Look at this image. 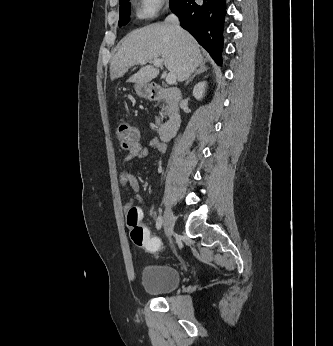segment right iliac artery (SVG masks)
Returning a JSON list of instances; mask_svg holds the SVG:
<instances>
[{"label": "right iliac artery", "mask_w": 333, "mask_h": 346, "mask_svg": "<svg viewBox=\"0 0 333 346\" xmlns=\"http://www.w3.org/2000/svg\"><path fill=\"white\" fill-rule=\"evenodd\" d=\"M162 225H163L162 217H161V216H158V218L156 219V228H157L158 230H160L161 227H162Z\"/></svg>", "instance_id": "obj_1"}]
</instances>
